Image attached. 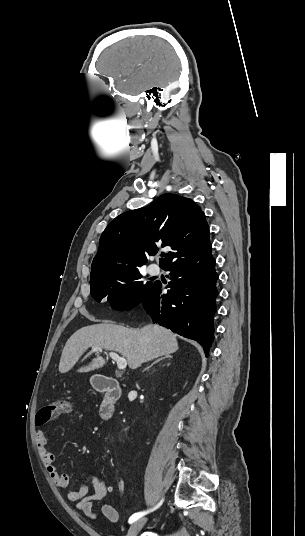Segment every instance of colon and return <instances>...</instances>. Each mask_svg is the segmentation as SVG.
<instances>
[{"label":"colon","instance_id":"obj_1","mask_svg":"<svg viewBox=\"0 0 305 536\" xmlns=\"http://www.w3.org/2000/svg\"><path fill=\"white\" fill-rule=\"evenodd\" d=\"M69 410L70 402L64 399H59L50 405L45 406L42 411H39L34 423L36 426L41 427L46 425L47 422H52L54 416L66 414L69 412Z\"/></svg>","mask_w":305,"mask_h":536}]
</instances>
